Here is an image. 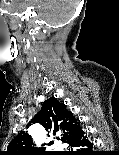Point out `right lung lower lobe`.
I'll list each match as a JSON object with an SVG mask.
<instances>
[{"mask_svg":"<svg viewBox=\"0 0 119 155\" xmlns=\"http://www.w3.org/2000/svg\"><path fill=\"white\" fill-rule=\"evenodd\" d=\"M65 143L69 145V150L58 155H96L92 143L86 138L82 129L74 133Z\"/></svg>","mask_w":119,"mask_h":155,"instance_id":"1","label":"right lung lower lobe"}]
</instances>
